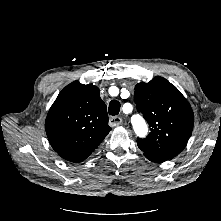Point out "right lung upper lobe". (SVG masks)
<instances>
[{"label":"right lung upper lobe","mask_w":221,"mask_h":221,"mask_svg":"<svg viewBox=\"0 0 221 221\" xmlns=\"http://www.w3.org/2000/svg\"><path fill=\"white\" fill-rule=\"evenodd\" d=\"M45 129L62 158L75 163L85 160L111 130L98 87L78 81L67 85L51 106Z\"/></svg>","instance_id":"cb5924a9"}]
</instances>
